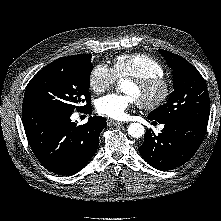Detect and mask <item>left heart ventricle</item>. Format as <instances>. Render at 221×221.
Wrapping results in <instances>:
<instances>
[{"label": "left heart ventricle", "instance_id": "b2bd125f", "mask_svg": "<svg viewBox=\"0 0 221 221\" xmlns=\"http://www.w3.org/2000/svg\"><path fill=\"white\" fill-rule=\"evenodd\" d=\"M126 93L137 98L140 96V91L138 89V87L136 86V84L134 82H132L127 88H126ZM159 93V90H153L150 93L147 94V97H155L157 96Z\"/></svg>", "mask_w": 221, "mask_h": 221}]
</instances>
